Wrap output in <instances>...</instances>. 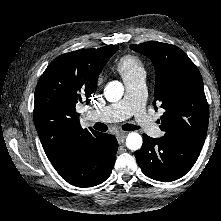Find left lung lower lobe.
I'll return each instance as SVG.
<instances>
[{"mask_svg":"<svg viewBox=\"0 0 221 221\" xmlns=\"http://www.w3.org/2000/svg\"><path fill=\"white\" fill-rule=\"evenodd\" d=\"M200 152V148L171 136L151 138L143 134V145L135 157L147 177L170 182L184 176L195 164Z\"/></svg>","mask_w":221,"mask_h":221,"instance_id":"obj_1","label":"left lung lower lobe"}]
</instances>
